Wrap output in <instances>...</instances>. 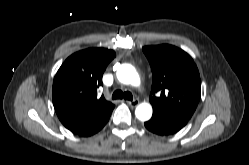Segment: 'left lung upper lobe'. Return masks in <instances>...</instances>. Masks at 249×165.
I'll return each instance as SVG.
<instances>
[{"label":"left lung upper lobe","mask_w":249,"mask_h":165,"mask_svg":"<svg viewBox=\"0 0 249 165\" xmlns=\"http://www.w3.org/2000/svg\"><path fill=\"white\" fill-rule=\"evenodd\" d=\"M143 52L153 74V110L190 120L201 95L199 71L191 56L167 44L145 46Z\"/></svg>","instance_id":"obj_1"}]
</instances>
